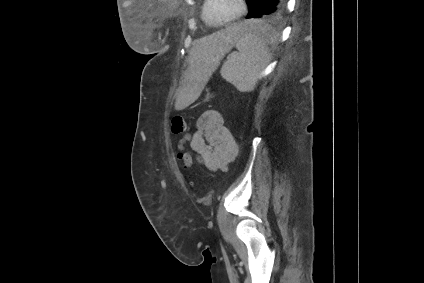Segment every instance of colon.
<instances>
[{"instance_id": "colon-1", "label": "colon", "mask_w": 424, "mask_h": 283, "mask_svg": "<svg viewBox=\"0 0 424 283\" xmlns=\"http://www.w3.org/2000/svg\"><path fill=\"white\" fill-rule=\"evenodd\" d=\"M171 131L174 134H183L187 131V122L182 116H174L171 120ZM179 158H181L184 162L186 168L191 167L192 158L187 153H180Z\"/></svg>"}]
</instances>
